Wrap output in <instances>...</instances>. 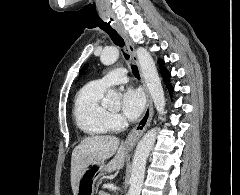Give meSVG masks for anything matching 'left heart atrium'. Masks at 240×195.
Wrapping results in <instances>:
<instances>
[{
	"label": "left heart atrium",
	"mask_w": 240,
	"mask_h": 195,
	"mask_svg": "<svg viewBox=\"0 0 240 195\" xmlns=\"http://www.w3.org/2000/svg\"><path fill=\"white\" fill-rule=\"evenodd\" d=\"M145 108V97L140 89H128L123 95L122 109L126 117L137 119Z\"/></svg>",
	"instance_id": "39dd6f15"
}]
</instances>
